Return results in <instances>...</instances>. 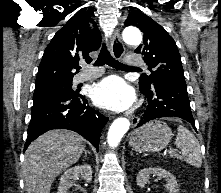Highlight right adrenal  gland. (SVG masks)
Wrapping results in <instances>:
<instances>
[{
	"label": "right adrenal gland",
	"mask_w": 221,
	"mask_h": 193,
	"mask_svg": "<svg viewBox=\"0 0 221 193\" xmlns=\"http://www.w3.org/2000/svg\"><path fill=\"white\" fill-rule=\"evenodd\" d=\"M90 154L91 153L88 150H86L85 147H84V157H86L87 155H90Z\"/></svg>",
	"instance_id": "obj_1"
}]
</instances>
